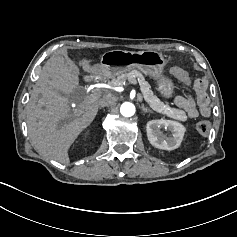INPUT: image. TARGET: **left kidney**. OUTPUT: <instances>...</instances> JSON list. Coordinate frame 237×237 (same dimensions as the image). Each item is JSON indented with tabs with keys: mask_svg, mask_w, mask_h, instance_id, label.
Returning a JSON list of instances; mask_svg holds the SVG:
<instances>
[{
	"mask_svg": "<svg viewBox=\"0 0 237 237\" xmlns=\"http://www.w3.org/2000/svg\"><path fill=\"white\" fill-rule=\"evenodd\" d=\"M164 127L171 131V137H165L160 128ZM149 142L158 149H177L183 140L186 128L179 122L173 120H151L146 126Z\"/></svg>",
	"mask_w": 237,
	"mask_h": 237,
	"instance_id": "obj_1",
	"label": "left kidney"
}]
</instances>
